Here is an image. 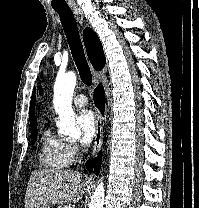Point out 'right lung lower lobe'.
Returning a JSON list of instances; mask_svg holds the SVG:
<instances>
[{
  "instance_id": "98d812e1",
  "label": "right lung lower lobe",
  "mask_w": 199,
  "mask_h": 208,
  "mask_svg": "<svg viewBox=\"0 0 199 208\" xmlns=\"http://www.w3.org/2000/svg\"><path fill=\"white\" fill-rule=\"evenodd\" d=\"M94 103L100 109V111L104 113L105 94L102 85H99L94 91ZM101 159L102 154L99 153L98 157L95 158L93 161H88L86 163V168L88 169V171L92 172V170L94 169L95 174L98 175L100 171Z\"/></svg>"
}]
</instances>
